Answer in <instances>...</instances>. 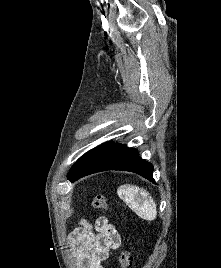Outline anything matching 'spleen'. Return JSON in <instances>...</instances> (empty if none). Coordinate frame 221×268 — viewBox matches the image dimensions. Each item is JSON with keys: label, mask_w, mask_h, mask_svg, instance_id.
<instances>
[{"label": "spleen", "mask_w": 221, "mask_h": 268, "mask_svg": "<svg viewBox=\"0 0 221 268\" xmlns=\"http://www.w3.org/2000/svg\"><path fill=\"white\" fill-rule=\"evenodd\" d=\"M118 196L142 219L154 220L156 204L149 193L135 185H122L117 189Z\"/></svg>", "instance_id": "obj_1"}]
</instances>
